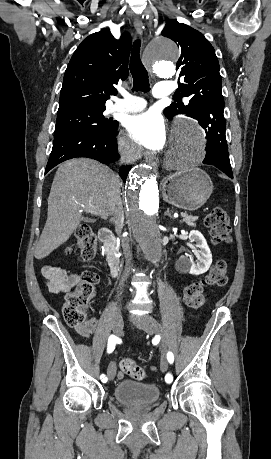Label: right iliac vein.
<instances>
[{"instance_id":"right-iliac-vein-1","label":"right iliac vein","mask_w":271,"mask_h":459,"mask_svg":"<svg viewBox=\"0 0 271 459\" xmlns=\"http://www.w3.org/2000/svg\"><path fill=\"white\" fill-rule=\"evenodd\" d=\"M124 327V321L119 313V315L114 319L113 330L117 335H121ZM116 365L114 362L110 363L107 368V376L109 380H113L116 375Z\"/></svg>"}]
</instances>
